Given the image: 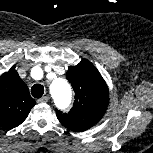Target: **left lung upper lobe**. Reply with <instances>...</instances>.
Listing matches in <instances>:
<instances>
[{
  "instance_id": "obj_1",
  "label": "left lung upper lobe",
  "mask_w": 153,
  "mask_h": 153,
  "mask_svg": "<svg viewBox=\"0 0 153 153\" xmlns=\"http://www.w3.org/2000/svg\"><path fill=\"white\" fill-rule=\"evenodd\" d=\"M66 78L75 92V101L68 113L56 109L60 123L75 132L88 130L105 114L109 103L108 87L95 66L88 60L68 69Z\"/></svg>"
}]
</instances>
